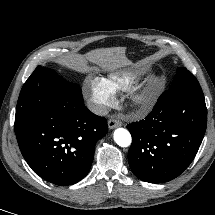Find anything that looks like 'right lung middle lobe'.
<instances>
[{"mask_svg":"<svg viewBox=\"0 0 215 215\" xmlns=\"http://www.w3.org/2000/svg\"><path fill=\"white\" fill-rule=\"evenodd\" d=\"M73 85L54 70L38 66L20 92L15 114V133L40 112L49 97Z\"/></svg>","mask_w":215,"mask_h":215,"instance_id":"dd1d6c3e","label":"right lung middle lobe"}]
</instances>
